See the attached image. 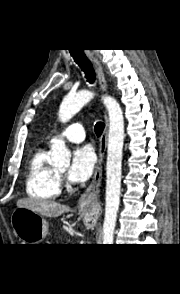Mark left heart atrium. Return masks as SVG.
Returning <instances> with one entry per match:
<instances>
[{"label":"left heart atrium","mask_w":180,"mask_h":294,"mask_svg":"<svg viewBox=\"0 0 180 294\" xmlns=\"http://www.w3.org/2000/svg\"><path fill=\"white\" fill-rule=\"evenodd\" d=\"M96 165V156L90 146H84L75 150L68 171V178L73 183H81L88 180Z\"/></svg>","instance_id":"left-heart-atrium-1"}]
</instances>
